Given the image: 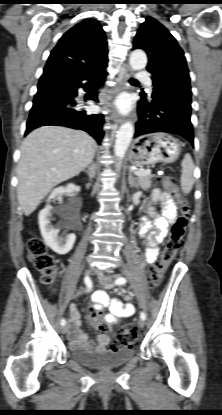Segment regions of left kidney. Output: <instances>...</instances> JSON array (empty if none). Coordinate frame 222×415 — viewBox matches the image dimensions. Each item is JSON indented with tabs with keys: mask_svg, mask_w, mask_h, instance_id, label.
Wrapping results in <instances>:
<instances>
[{
	"mask_svg": "<svg viewBox=\"0 0 222 415\" xmlns=\"http://www.w3.org/2000/svg\"><path fill=\"white\" fill-rule=\"evenodd\" d=\"M148 214H149V215H151V216H152V215H154V208H151V209L149 210Z\"/></svg>",
	"mask_w": 222,
	"mask_h": 415,
	"instance_id": "obj_1",
	"label": "left kidney"
}]
</instances>
